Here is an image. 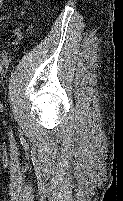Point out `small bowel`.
<instances>
[{"label":"small bowel","instance_id":"c3829d8e","mask_svg":"<svg viewBox=\"0 0 123 201\" xmlns=\"http://www.w3.org/2000/svg\"><path fill=\"white\" fill-rule=\"evenodd\" d=\"M3 1L4 0H0V10L2 9ZM21 38H22V31L20 27H15L11 35V44L13 46L18 45V43L21 41Z\"/></svg>","mask_w":123,"mask_h":201}]
</instances>
